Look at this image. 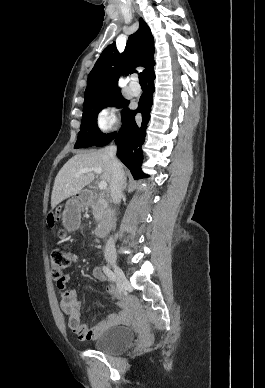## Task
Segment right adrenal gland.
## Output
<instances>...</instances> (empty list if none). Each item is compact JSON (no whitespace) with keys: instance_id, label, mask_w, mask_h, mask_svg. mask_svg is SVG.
Masks as SVG:
<instances>
[{"instance_id":"1","label":"right adrenal gland","mask_w":265,"mask_h":388,"mask_svg":"<svg viewBox=\"0 0 265 388\" xmlns=\"http://www.w3.org/2000/svg\"><path fill=\"white\" fill-rule=\"evenodd\" d=\"M126 182H127V178H125V180H124V186H123L122 190H125V188H127Z\"/></svg>"}]
</instances>
